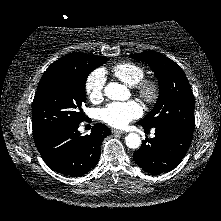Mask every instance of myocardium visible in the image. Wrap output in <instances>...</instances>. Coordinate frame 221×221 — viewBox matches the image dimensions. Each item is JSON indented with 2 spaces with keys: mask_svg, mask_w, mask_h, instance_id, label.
Segmentation results:
<instances>
[{
  "mask_svg": "<svg viewBox=\"0 0 221 221\" xmlns=\"http://www.w3.org/2000/svg\"><path fill=\"white\" fill-rule=\"evenodd\" d=\"M134 88L146 104H153L159 97V84L154 79H142Z\"/></svg>",
  "mask_w": 221,
  "mask_h": 221,
  "instance_id": "f54148a6",
  "label": "myocardium"
}]
</instances>
